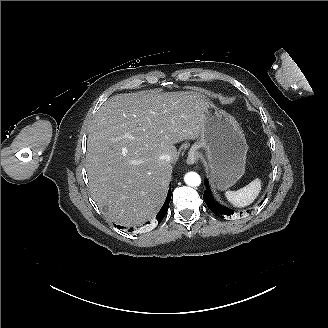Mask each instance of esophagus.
<instances>
[{"label":"esophagus","instance_id":"esophagus-1","mask_svg":"<svg viewBox=\"0 0 328 328\" xmlns=\"http://www.w3.org/2000/svg\"><path fill=\"white\" fill-rule=\"evenodd\" d=\"M197 160H198V155H197V153H196L195 151H190V152L188 153V156H187V159H186V163H187L188 165H192V164L196 163Z\"/></svg>","mask_w":328,"mask_h":328}]
</instances>
